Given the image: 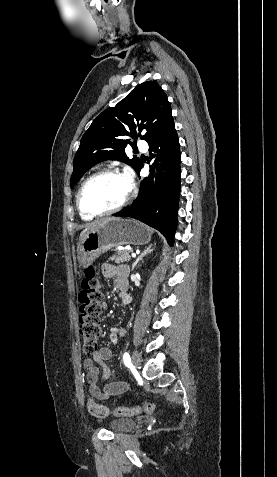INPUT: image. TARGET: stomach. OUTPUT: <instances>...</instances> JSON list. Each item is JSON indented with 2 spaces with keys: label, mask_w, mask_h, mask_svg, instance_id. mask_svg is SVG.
<instances>
[{
  "label": "stomach",
  "mask_w": 277,
  "mask_h": 477,
  "mask_svg": "<svg viewBox=\"0 0 277 477\" xmlns=\"http://www.w3.org/2000/svg\"><path fill=\"white\" fill-rule=\"evenodd\" d=\"M151 240V231L134 219L108 218L83 233L77 244V258L82 267L117 246L144 245Z\"/></svg>",
  "instance_id": "stomach-1"
}]
</instances>
